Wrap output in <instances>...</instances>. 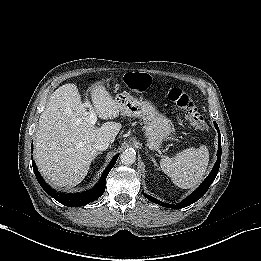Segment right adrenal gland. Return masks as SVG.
<instances>
[{
    "label": "right adrenal gland",
    "instance_id": "right-adrenal-gland-1",
    "mask_svg": "<svg viewBox=\"0 0 261 261\" xmlns=\"http://www.w3.org/2000/svg\"><path fill=\"white\" fill-rule=\"evenodd\" d=\"M99 154H101V152H97L95 156L97 157Z\"/></svg>",
    "mask_w": 261,
    "mask_h": 261
}]
</instances>
